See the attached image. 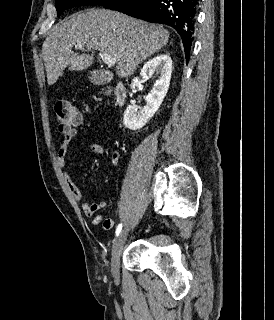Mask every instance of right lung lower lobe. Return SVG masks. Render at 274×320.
I'll return each instance as SVG.
<instances>
[{"instance_id": "right-lung-lower-lobe-1", "label": "right lung lower lobe", "mask_w": 274, "mask_h": 320, "mask_svg": "<svg viewBox=\"0 0 274 320\" xmlns=\"http://www.w3.org/2000/svg\"><path fill=\"white\" fill-rule=\"evenodd\" d=\"M104 8L176 29L189 58L196 23L198 0H111Z\"/></svg>"}]
</instances>
